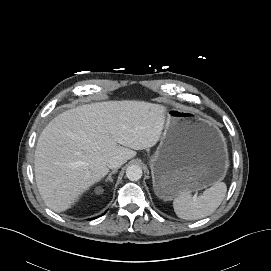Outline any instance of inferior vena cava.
Here are the masks:
<instances>
[{
  "instance_id": "inferior-vena-cava-1",
  "label": "inferior vena cava",
  "mask_w": 271,
  "mask_h": 271,
  "mask_svg": "<svg viewBox=\"0 0 271 271\" xmlns=\"http://www.w3.org/2000/svg\"><path fill=\"white\" fill-rule=\"evenodd\" d=\"M124 163V158L121 156H113L108 160V167L110 169H118L119 167H121V165Z\"/></svg>"
}]
</instances>
